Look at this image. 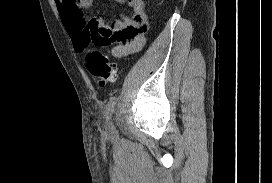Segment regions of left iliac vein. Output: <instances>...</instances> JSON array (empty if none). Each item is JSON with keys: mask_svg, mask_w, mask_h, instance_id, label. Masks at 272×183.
<instances>
[{"mask_svg": "<svg viewBox=\"0 0 272 183\" xmlns=\"http://www.w3.org/2000/svg\"><path fill=\"white\" fill-rule=\"evenodd\" d=\"M108 129L110 131H114L115 130L114 125L111 122L108 124Z\"/></svg>", "mask_w": 272, "mask_h": 183, "instance_id": "4c4485c4", "label": "left iliac vein"}]
</instances>
